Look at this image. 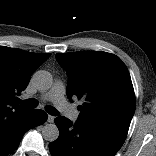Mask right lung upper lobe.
<instances>
[{
    "instance_id": "cb5924a9",
    "label": "right lung upper lobe",
    "mask_w": 156,
    "mask_h": 156,
    "mask_svg": "<svg viewBox=\"0 0 156 156\" xmlns=\"http://www.w3.org/2000/svg\"><path fill=\"white\" fill-rule=\"evenodd\" d=\"M49 56L0 46V120L9 114L29 110L15 104L16 95L25 90L33 72Z\"/></svg>"
}]
</instances>
